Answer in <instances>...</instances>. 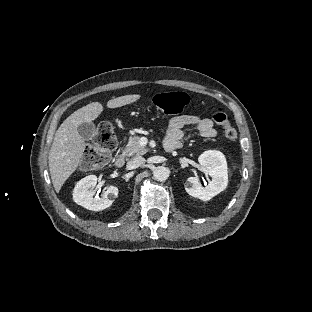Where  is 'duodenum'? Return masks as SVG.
<instances>
[{
	"mask_svg": "<svg viewBox=\"0 0 312 312\" xmlns=\"http://www.w3.org/2000/svg\"><path fill=\"white\" fill-rule=\"evenodd\" d=\"M165 149L169 152H173L175 150H177V147L175 145H164ZM126 153L125 152H120L116 155L115 159H114V165L117 168H123L125 163H126Z\"/></svg>",
	"mask_w": 312,
	"mask_h": 312,
	"instance_id": "duodenum-1",
	"label": "duodenum"
}]
</instances>
